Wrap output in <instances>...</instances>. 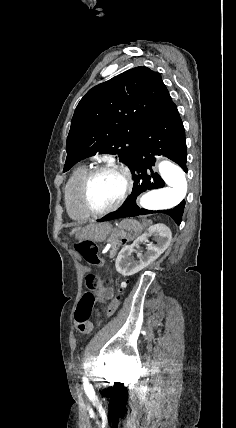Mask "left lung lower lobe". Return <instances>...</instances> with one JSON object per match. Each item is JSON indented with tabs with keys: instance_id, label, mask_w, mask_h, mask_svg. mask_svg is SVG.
Returning <instances> with one entry per match:
<instances>
[{
	"instance_id": "0a47b994",
	"label": "left lung lower lobe",
	"mask_w": 236,
	"mask_h": 428,
	"mask_svg": "<svg viewBox=\"0 0 236 428\" xmlns=\"http://www.w3.org/2000/svg\"><path fill=\"white\" fill-rule=\"evenodd\" d=\"M137 145L139 149L135 151L129 165L134 178L130 197L117 211L99 219L98 222L151 213H163L172 217L177 224H180L185 200L172 209L161 211L139 208L135 202L140 193L165 186V182L160 175L152 170V166L155 163L154 155H164L177 163L185 172L188 170L186 167L185 131L174 103L143 128Z\"/></svg>"
}]
</instances>
